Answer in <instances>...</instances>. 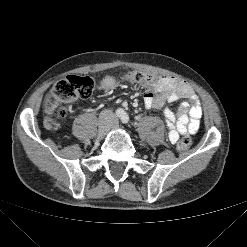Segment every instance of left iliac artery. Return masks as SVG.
<instances>
[{
  "instance_id": "left-iliac-artery-1",
  "label": "left iliac artery",
  "mask_w": 247,
  "mask_h": 247,
  "mask_svg": "<svg viewBox=\"0 0 247 247\" xmlns=\"http://www.w3.org/2000/svg\"><path fill=\"white\" fill-rule=\"evenodd\" d=\"M121 121H122V123H124V124L128 123V121H129V116H128L126 113H124V114L121 116Z\"/></svg>"
}]
</instances>
